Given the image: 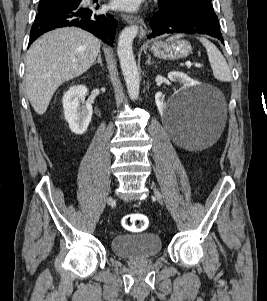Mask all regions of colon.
I'll use <instances>...</instances> for the list:
<instances>
[{
	"label": "colon",
	"mask_w": 267,
	"mask_h": 301,
	"mask_svg": "<svg viewBox=\"0 0 267 301\" xmlns=\"http://www.w3.org/2000/svg\"><path fill=\"white\" fill-rule=\"evenodd\" d=\"M149 224L148 217L142 213L127 214L122 219V225L131 232H142Z\"/></svg>",
	"instance_id": "colon-1"
}]
</instances>
